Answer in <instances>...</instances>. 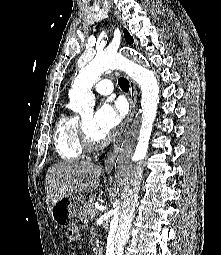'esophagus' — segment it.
Returning <instances> with one entry per match:
<instances>
[{
	"instance_id": "obj_1",
	"label": "esophagus",
	"mask_w": 221,
	"mask_h": 255,
	"mask_svg": "<svg viewBox=\"0 0 221 255\" xmlns=\"http://www.w3.org/2000/svg\"><path fill=\"white\" fill-rule=\"evenodd\" d=\"M129 94H128V100H129V104H130V109H129V113L124 121V124L118 134V138L115 142V144L113 145V148L111 151L108 152L106 160H105V164H104V168L106 171H111L113 168V165L115 163L116 157L118 155L122 140L124 135L126 134L129 125L133 119V116L135 114V110H136V104H137V90H136V85L134 83V81L132 79H129Z\"/></svg>"
}]
</instances>
